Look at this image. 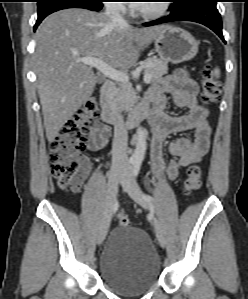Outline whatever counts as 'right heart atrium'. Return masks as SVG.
<instances>
[{"label": "right heart atrium", "instance_id": "right-heart-atrium-1", "mask_svg": "<svg viewBox=\"0 0 248 299\" xmlns=\"http://www.w3.org/2000/svg\"><path fill=\"white\" fill-rule=\"evenodd\" d=\"M110 2H122L121 0H112V1H110ZM112 10H114V11H118V12H122V11H124V8L123 7H121V6H113L112 8H111Z\"/></svg>", "mask_w": 248, "mask_h": 299}]
</instances>
